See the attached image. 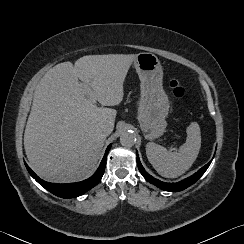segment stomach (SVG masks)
Here are the masks:
<instances>
[{
    "label": "stomach",
    "mask_w": 244,
    "mask_h": 244,
    "mask_svg": "<svg viewBox=\"0 0 244 244\" xmlns=\"http://www.w3.org/2000/svg\"><path fill=\"white\" fill-rule=\"evenodd\" d=\"M134 66L141 81L137 119L144 136L156 139L167 128L170 103L162 86L163 69L158 57L150 52L137 54Z\"/></svg>",
    "instance_id": "stomach-1"
}]
</instances>
